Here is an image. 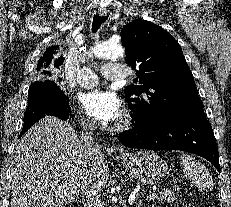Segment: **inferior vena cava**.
Instances as JSON below:
<instances>
[{"mask_svg": "<svg viewBox=\"0 0 231 207\" xmlns=\"http://www.w3.org/2000/svg\"><path fill=\"white\" fill-rule=\"evenodd\" d=\"M94 122L85 119L79 143L89 161L80 178V193L84 207H102L99 190L96 185V161L100 159V148L95 146Z\"/></svg>", "mask_w": 231, "mask_h": 207, "instance_id": "inferior-vena-cava-1", "label": "inferior vena cava"}]
</instances>
